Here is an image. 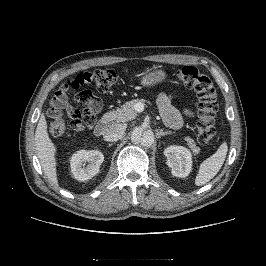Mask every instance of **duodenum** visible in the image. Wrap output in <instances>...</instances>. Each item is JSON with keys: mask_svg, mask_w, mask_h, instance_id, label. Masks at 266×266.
<instances>
[{"mask_svg": "<svg viewBox=\"0 0 266 266\" xmlns=\"http://www.w3.org/2000/svg\"><path fill=\"white\" fill-rule=\"evenodd\" d=\"M108 122H109L108 119H104L95 125L94 127L95 136H102L105 133L108 126Z\"/></svg>", "mask_w": 266, "mask_h": 266, "instance_id": "duodenum-1", "label": "duodenum"}]
</instances>
